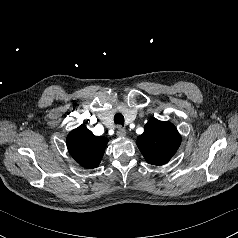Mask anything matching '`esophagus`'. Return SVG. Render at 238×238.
I'll list each match as a JSON object with an SVG mask.
<instances>
[{
  "label": "esophagus",
  "instance_id": "esophagus-1",
  "mask_svg": "<svg viewBox=\"0 0 238 238\" xmlns=\"http://www.w3.org/2000/svg\"><path fill=\"white\" fill-rule=\"evenodd\" d=\"M116 134L118 137H124L126 135V131L123 127L118 126Z\"/></svg>",
  "mask_w": 238,
  "mask_h": 238
}]
</instances>
